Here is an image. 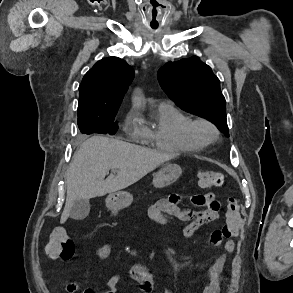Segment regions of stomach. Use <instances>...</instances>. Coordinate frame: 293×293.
Here are the masks:
<instances>
[{
  "label": "stomach",
  "mask_w": 293,
  "mask_h": 293,
  "mask_svg": "<svg viewBox=\"0 0 293 293\" xmlns=\"http://www.w3.org/2000/svg\"><path fill=\"white\" fill-rule=\"evenodd\" d=\"M182 173V169L177 164H166L153 178L155 188H164L174 183ZM133 201V196L126 191H119L109 194L106 199V206L118 211L128 207Z\"/></svg>",
  "instance_id": "obj_1"
}]
</instances>
